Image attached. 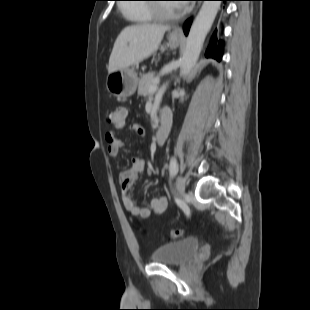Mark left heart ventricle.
I'll list each match as a JSON object with an SVG mask.
<instances>
[{"mask_svg": "<svg viewBox=\"0 0 310 310\" xmlns=\"http://www.w3.org/2000/svg\"><path fill=\"white\" fill-rule=\"evenodd\" d=\"M167 10H175V6L172 4H165Z\"/></svg>", "mask_w": 310, "mask_h": 310, "instance_id": "obj_1", "label": "left heart ventricle"}]
</instances>
